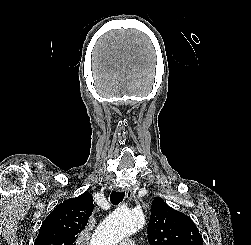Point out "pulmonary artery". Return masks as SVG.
<instances>
[{
	"label": "pulmonary artery",
	"mask_w": 251,
	"mask_h": 245,
	"mask_svg": "<svg viewBox=\"0 0 251 245\" xmlns=\"http://www.w3.org/2000/svg\"><path fill=\"white\" fill-rule=\"evenodd\" d=\"M120 245H135V243L132 240L126 239L123 240Z\"/></svg>",
	"instance_id": "1"
}]
</instances>
